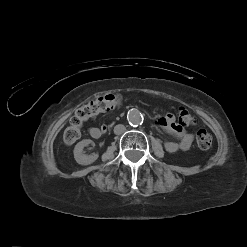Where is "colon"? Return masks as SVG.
Wrapping results in <instances>:
<instances>
[{"label": "colon", "instance_id": "obj_1", "mask_svg": "<svg viewBox=\"0 0 247 247\" xmlns=\"http://www.w3.org/2000/svg\"><path fill=\"white\" fill-rule=\"evenodd\" d=\"M122 96L119 94H108L96 98L87 104L79 107L70 119L69 126L63 134V141L66 145L74 144L81 136V126L84 122L94 118L100 113L116 109L122 105ZM196 123V118L186 109L179 111V125L189 127ZM212 136L206 130H199L196 142L200 149L208 150L212 146Z\"/></svg>", "mask_w": 247, "mask_h": 247}]
</instances>
